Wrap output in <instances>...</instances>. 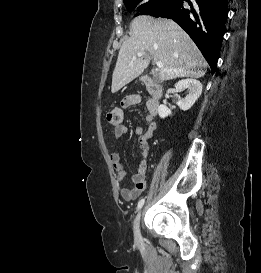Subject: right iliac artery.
I'll return each mask as SVG.
<instances>
[{
	"label": "right iliac artery",
	"mask_w": 261,
	"mask_h": 273,
	"mask_svg": "<svg viewBox=\"0 0 261 273\" xmlns=\"http://www.w3.org/2000/svg\"><path fill=\"white\" fill-rule=\"evenodd\" d=\"M144 202H145V199H141V200L138 202V206H137V209H138V210L143 206Z\"/></svg>",
	"instance_id": "1"
}]
</instances>
